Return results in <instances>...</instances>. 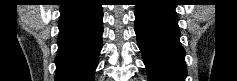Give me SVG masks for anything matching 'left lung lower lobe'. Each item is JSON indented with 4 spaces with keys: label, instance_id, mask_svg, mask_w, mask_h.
Here are the masks:
<instances>
[{
    "label": "left lung lower lobe",
    "instance_id": "1",
    "mask_svg": "<svg viewBox=\"0 0 237 81\" xmlns=\"http://www.w3.org/2000/svg\"><path fill=\"white\" fill-rule=\"evenodd\" d=\"M135 32L150 81H184L185 51L172 0H142L135 9Z\"/></svg>",
    "mask_w": 237,
    "mask_h": 81
}]
</instances>
